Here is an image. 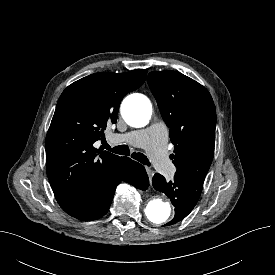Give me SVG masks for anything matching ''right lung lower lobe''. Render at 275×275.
Masks as SVG:
<instances>
[{
	"label": "right lung lower lobe",
	"mask_w": 275,
	"mask_h": 275,
	"mask_svg": "<svg viewBox=\"0 0 275 275\" xmlns=\"http://www.w3.org/2000/svg\"><path fill=\"white\" fill-rule=\"evenodd\" d=\"M122 181L141 190H146L149 186V179L144 166L128 157H123L121 165L112 177L93 192L92 197L81 211L71 214V216L79 220L90 221L105 215L111 205L116 187Z\"/></svg>",
	"instance_id": "right-lung-lower-lobe-1"
}]
</instances>
